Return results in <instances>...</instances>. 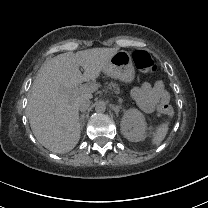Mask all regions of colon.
<instances>
[{
    "mask_svg": "<svg viewBox=\"0 0 208 208\" xmlns=\"http://www.w3.org/2000/svg\"><path fill=\"white\" fill-rule=\"evenodd\" d=\"M134 65L140 71L153 75L156 72V67L154 60L151 55L144 50H135L132 56ZM157 111L163 113L166 117L172 119L175 115V112L171 106L163 105L157 108Z\"/></svg>",
    "mask_w": 208,
    "mask_h": 208,
    "instance_id": "5ec220e1",
    "label": "colon"
}]
</instances>
